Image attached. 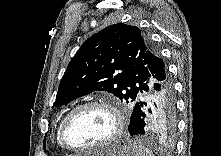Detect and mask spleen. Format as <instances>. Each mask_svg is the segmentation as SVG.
<instances>
[{"instance_id":"obj_1","label":"spleen","mask_w":221,"mask_h":156,"mask_svg":"<svg viewBox=\"0 0 221 156\" xmlns=\"http://www.w3.org/2000/svg\"><path fill=\"white\" fill-rule=\"evenodd\" d=\"M131 150L133 151V156H154L152 151L141 145L140 142L129 141Z\"/></svg>"}]
</instances>
